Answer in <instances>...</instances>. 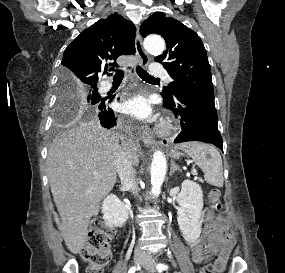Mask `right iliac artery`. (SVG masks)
I'll use <instances>...</instances> for the list:
<instances>
[{"mask_svg": "<svg viewBox=\"0 0 285 273\" xmlns=\"http://www.w3.org/2000/svg\"><path fill=\"white\" fill-rule=\"evenodd\" d=\"M137 267L136 266H133L129 269L128 273H135Z\"/></svg>", "mask_w": 285, "mask_h": 273, "instance_id": "82829eb1", "label": "right iliac artery"}]
</instances>
